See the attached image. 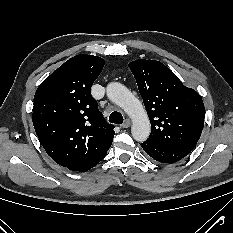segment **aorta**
Segmentation results:
<instances>
[{"mask_svg":"<svg viewBox=\"0 0 233 233\" xmlns=\"http://www.w3.org/2000/svg\"><path fill=\"white\" fill-rule=\"evenodd\" d=\"M106 91L108 98L120 106L131 118L133 138L138 142H144L149 137L151 125L140 100L121 83L108 84Z\"/></svg>","mask_w":233,"mask_h":233,"instance_id":"aorta-1","label":"aorta"}]
</instances>
